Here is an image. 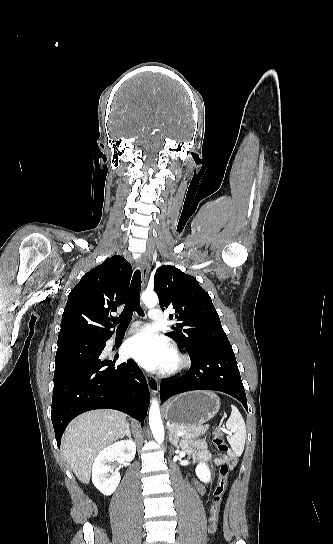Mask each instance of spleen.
<instances>
[{"label":"spleen","instance_id":"3e777b00","mask_svg":"<svg viewBox=\"0 0 333 544\" xmlns=\"http://www.w3.org/2000/svg\"><path fill=\"white\" fill-rule=\"evenodd\" d=\"M231 410V415L226 422V428L232 434L227 436V440L235 455L240 456L243 453L245 446L246 426L238 408L231 405Z\"/></svg>","mask_w":333,"mask_h":544}]
</instances>
